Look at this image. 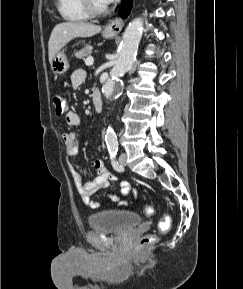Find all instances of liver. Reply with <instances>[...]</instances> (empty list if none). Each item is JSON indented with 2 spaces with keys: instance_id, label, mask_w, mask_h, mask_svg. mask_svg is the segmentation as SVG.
<instances>
[{
  "instance_id": "liver-1",
  "label": "liver",
  "mask_w": 243,
  "mask_h": 289,
  "mask_svg": "<svg viewBox=\"0 0 243 289\" xmlns=\"http://www.w3.org/2000/svg\"><path fill=\"white\" fill-rule=\"evenodd\" d=\"M101 27L83 22H63L57 24L49 38L48 55L51 63L55 55L71 40L75 38H86L96 35Z\"/></svg>"
}]
</instances>
